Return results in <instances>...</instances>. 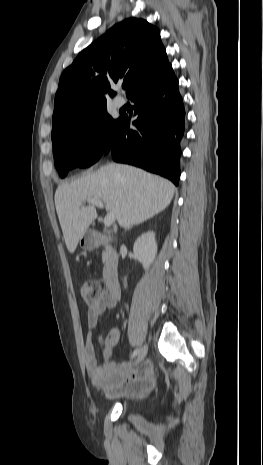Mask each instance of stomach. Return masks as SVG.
<instances>
[{
  "label": "stomach",
  "mask_w": 263,
  "mask_h": 465,
  "mask_svg": "<svg viewBox=\"0 0 263 465\" xmlns=\"http://www.w3.org/2000/svg\"><path fill=\"white\" fill-rule=\"evenodd\" d=\"M79 244L81 248L85 250H93L98 245L96 234L89 231L85 232L84 235L80 238Z\"/></svg>",
  "instance_id": "stomach-1"
}]
</instances>
